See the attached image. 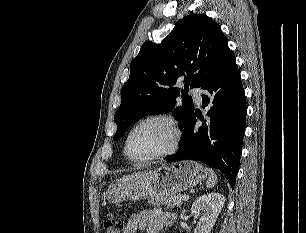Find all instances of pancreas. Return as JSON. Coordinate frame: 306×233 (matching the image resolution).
I'll list each match as a JSON object with an SVG mask.
<instances>
[{
	"label": "pancreas",
	"instance_id": "1",
	"mask_svg": "<svg viewBox=\"0 0 306 233\" xmlns=\"http://www.w3.org/2000/svg\"><path fill=\"white\" fill-rule=\"evenodd\" d=\"M183 195L175 194L171 196L152 199L149 203L155 206L167 205L168 208L179 207L183 204Z\"/></svg>",
	"mask_w": 306,
	"mask_h": 233
}]
</instances>
